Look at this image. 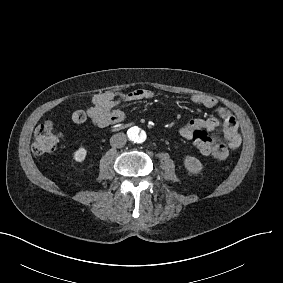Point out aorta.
<instances>
[{
    "label": "aorta",
    "instance_id": "aorta-1",
    "mask_svg": "<svg viewBox=\"0 0 283 283\" xmlns=\"http://www.w3.org/2000/svg\"><path fill=\"white\" fill-rule=\"evenodd\" d=\"M128 138L134 143H143L147 139L146 132L138 126H133L127 131Z\"/></svg>",
    "mask_w": 283,
    "mask_h": 283
}]
</instances>
